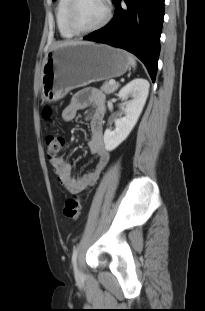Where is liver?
<instances>
[{
  "instance_id": "obj_1",
  "label": "liver",
  "mask_w": 205,
  "mask_h": 311,
  "mask_svg": "<svg viewBox=\"0 0 205 311\" xmlns=\"http://www.w3.org/2000/svg\"><path fill=\"white\" fill-rule=\"evenodd\" d=\"M76 43H88V42H79V41H64L61 43H57L55 44L54 47H59V46H63V45H67V44H76Z\"/></svg>"
}]
</instances>
